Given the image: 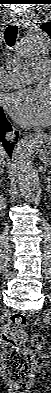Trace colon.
<instances>
[{
  "label": "colon",
  "mask_w": 51,
  "mask_h": 393,
  "mask_svg": "<svg viewBox=\"0 0 51 393\" xmlns=\"http://www.w3.org/2000/svg\"><path fill=\"white\" fill-rule=\"evenodd\" d=\"M27 317L22 313H13L1 334L2 370L5 377L24 393L36 370L33 353L25 346ZM35 350L41 351L46 345L43 335L35 334L31 338Z\"/></svg>",
  "instance_id": "5ec220e1"
}]
</instances>
